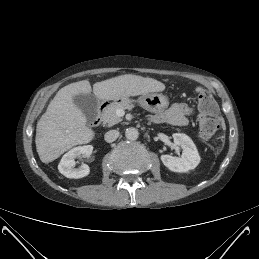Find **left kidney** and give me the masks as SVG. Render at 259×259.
<instances>
[{"label":"left kidney","instance_id":"left-kidney-1","mask_svg":"<svg viewBox=\"0 0 259 259\" xmlns=\"http://www.w3.org/2000/svg\"><path fill=\"white\" fill-rule=\"evenodd\" d=\"M174 143L183 151L181 157L161 155L162 163L173 172H187L194 169L200 163V156L192 139L183 133L173 134Z\"/></svg>","mask_w":259,"mask_h":259}]
</instances>
